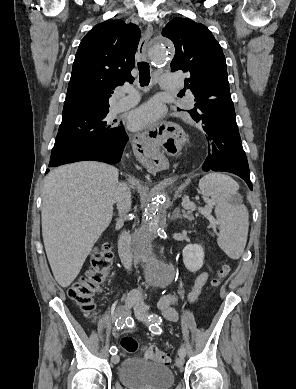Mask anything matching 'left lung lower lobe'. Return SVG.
Wrapping results in <instances>:
<instances>
[{
    "label": "left lung lower lobe",
    "instance_id": "left-lung-lower-lobe-1",
    "mask_svg": "<svg viewBox=\"0 0 296 389\" xmlns=\"http://www.w3.org/2000/svg\"><path fill=\"white\" fill-rule=\"evenodd\" d=\"M207 154L204 171H224L241 177L252 190L249 166L243 150L231 95H224L202 114Z\"/></svg>",
    "mask_w": 296,
    "mask_h": 389
}]
</instances>
